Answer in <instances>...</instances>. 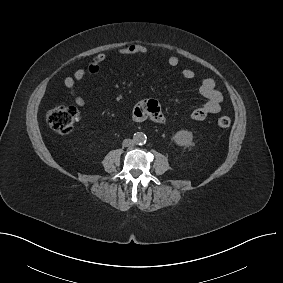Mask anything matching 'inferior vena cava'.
<instances>
[{"mask_svg": "<svg viewBox=\"0 0 283 283\" xmlns=\"http://www.w3.org/2000/svg\"><path fill=\"white\" fill-rule=\"evenodd\" d=\"M134 143H135V142H134L132 139H124L122 145H123L124 147H131V146L134 145Z\"/></svg>", "mask_w": 283, "mask_h": 283, "instance_id": "inferior-vena-cava-1", "label": "inferior vena cava"}]
</instances>
